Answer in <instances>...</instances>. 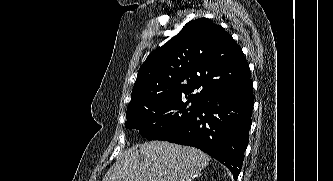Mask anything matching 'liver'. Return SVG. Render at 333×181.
<instances>
[{
  "label": "liver",
  "instance_id": "6515ba94",
  "mask_svg": "<svg viewBox=\"0 0 333 181\" xmlns=\"http://www.w3.org/2000/svg\"><path fill=\"white\" fill-rule=\"evenodd\" d=\"M203 151L166 141L134 146L103 177V181H192L209 164Z\"/></svg>",
  "mask_w": 333,
  "mask_h": 181
}]
</instances>
